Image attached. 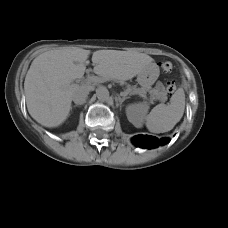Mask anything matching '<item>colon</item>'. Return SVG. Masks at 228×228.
<instances>
[{
	"label": "colon",
	"mask_w": 228,
	"mask_h": 228,
	"mask_svg": "<svg viewBox=\"0 0 228 228\" xmlns=\"http://www.w3.org/2000/svg\"><path fill=\"white\" fill-rule=\"evenodd\" d=\"M161 68H162V70L164 72H167L168 73V72H171L172 71L173 66H172V64L170 62L165 61V62H162L161 63ZM175 90H176V84H175V82L174 81L169 82L168 85H167V91H168V93L171 94Z\"/></svg>",
	"instance_id": "1"
}]
</instances>
